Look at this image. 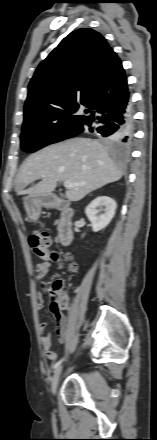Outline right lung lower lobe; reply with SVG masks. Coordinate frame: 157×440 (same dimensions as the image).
Returning <instances> with one entry per match:
<instances>
[{"label": "right lung lower lobe", "instance_id": "98d812e1", "mask_svg": "<svg viewBox=\"0 0 157 440\" xmlns=\"http://www.w3.org/2000/svg\"><path fill=\"white\" fill-rule=\"evenodd\" d=\"M90 132H97L101 136L118 144H130L133 140V119L129 98L118 100L102 109L85 123ZM83 131V130H82Z\"/></svg>", "mask_w": 157, "mask_h": 440}]
</instances>
